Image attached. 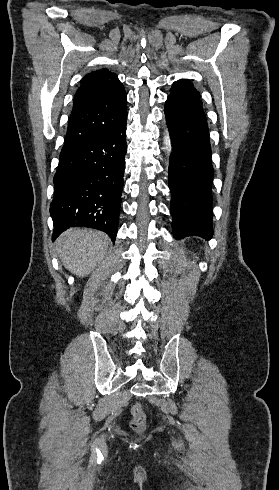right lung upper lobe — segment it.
<instances>
[{
  "label": "right lung upper lobe",
  "instance_id": "right-lung-upper-lobe-1",
  "mask_svg": "<svg viewBox=\"0 0 279 490\" xmlns=\"http://www.w3.org/2000/svg\"><path fill=\"white\" fill-rule=\"evenodd\" d=\"M126 92L107 69L88 73L73 100L63 149L100 137L126 121Z\"/></svg>",
  "mask_w": 279,
  "mask_h": 490
}]
</instances>
